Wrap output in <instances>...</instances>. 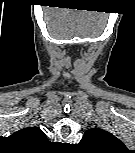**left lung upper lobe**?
<instances>
[{"instance_id": "obj_1", "label": "left lung upper lobe", "mask_w": 135, "mask_h": 153, "mask_svg": "<svg viewBox=\"0 0 135 153\" xmlns=\"http://www.w3.org/2000/svg\"><path fill=\"white\" fill-rule=\"evenodd\" d=\"M80 146L92 153H118L126 150L121 141L100 128L87 130L80 141Z\"/></svg>"}]
</instances>
